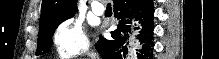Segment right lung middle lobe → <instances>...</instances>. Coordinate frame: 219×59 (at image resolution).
<instances>
[{
    "instance_id": "dd1d6c3e",
    "label": "right lung middle lobe",
    "mask_w": 219,
    "mask_h": 59,
    "mask_svg": "<svg viewBox=\"0 0 219 59\" xmlns=\"http://www.w3.org/2000/svg\"><path fill=\"white\" fill-rule=\"evenodd\" d=\"M64 20L66 19L50 23L43 28H39L38 47L36 50V55H42L50 50L52 35L55 32L58 25L62 23Z\"/></svg>"
}]
</instances>
